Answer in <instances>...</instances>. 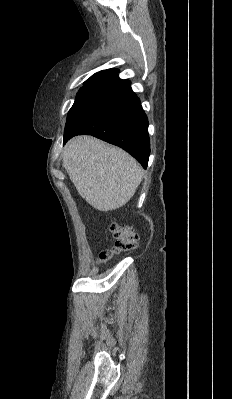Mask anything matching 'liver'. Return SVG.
I'll list each match as a JSON object with an SVG mask.
<instances>
[{"label": "liver", "instance_id": "1", "mask_svg": "<svg viewBox=\"0 0 232 399\" xmlns=\"http://www.w3.org/2000/svg\"><path fill=\"white\" fill-rule=\"evenodd\" d=\"M63 168L80 196L100 211L125 205L143 176L127 152L92 136H77L66 144Z\"/></svg>", "mask_w": 232, "mask_h": 399}]
</instances>
